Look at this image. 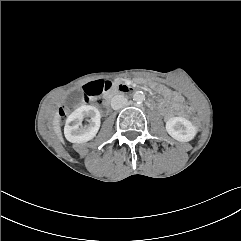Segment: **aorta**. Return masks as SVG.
<instances>
[{"label": "aorta", "instance_id": "1", "mask_svg": "<svg viewBox=\"0 0 241 241\" xmlns=\"http://www.w3.org/2000/svg\"><path fill=\"white\" fill-rule=\"evenodd\" d=\"M133 100L137 103H141L145 100V95L143 92H135L133 95Z\"/></svg>", "mask_w": 241, "mask_h": 241}]
</instances>
